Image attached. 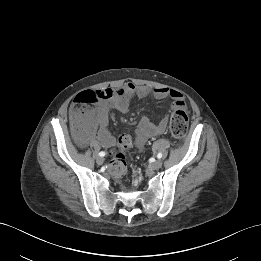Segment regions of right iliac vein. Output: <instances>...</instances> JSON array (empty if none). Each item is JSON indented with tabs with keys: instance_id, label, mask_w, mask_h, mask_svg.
I'll use <instances>...</instances> for the list:
<instances>
[{
	"instance_id": "obj_1",
	"label": "right iliac vein",
	"mask_w": 261,
	"mask_h": 261,
	"mask_svg": "<svg viewBox=\"0 0 261 261\" xmlns=\"http://www.w3.org/2000/svg\"><path fill=\"white\" fill-rule=\"evenodd\" d=\"M96 162H97L98 165H102V164L104 163V158L98 157V158L96 159Z\"/></svg>"
}]
</instances>
